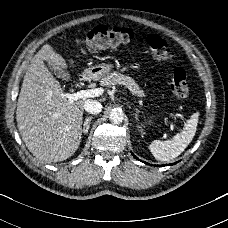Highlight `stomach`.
Returning <instances> with one entry per match:
<instances>
[{"label":"stomach","mask_w":228,"mask_h":228,"mask_svg":"<svg viewBox=\"0 0 228 228\" xmlns=\"http://www.w3.org/2000/svg\"><path fill=\"white\" fill-rule=\"evenodd\" d=\"M112 68L113 65L103 63L85 69L83 74L87 79L98 80L108 75Z\"/></svg>","instance_id":"obj_1"}]
</instances>
